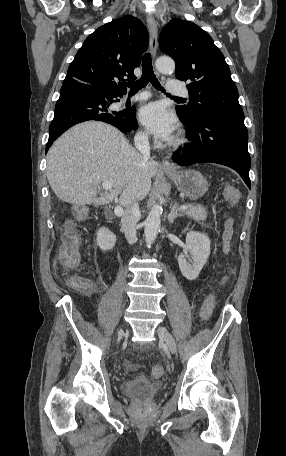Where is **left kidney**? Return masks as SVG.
<instances>
[{"label":"left kidney","instance_id":"1","mask_svg":"<svg viewBox=\"0 0 286 456\" xmlns=\"http://www.w3.org/2000/svg\"><path fill=\"white\" fill-rule=\"evenodd\" d=\"M210 239L207 235L190 231L186 235V245L178 257L179 268L188 280H195L210 255Z\"/></svg>","mask_w":286,"mask_h":456}]
</instances>
